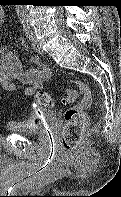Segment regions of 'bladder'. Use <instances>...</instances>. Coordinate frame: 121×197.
Masks as SVG:
<instances>
[{
    "label": "bladder",
    "instance_id": "obj_1",
    "mask_svg": "<svg viewBox=\"0 0 121 197\" xmlns=\"http://www.w3.org/2000/svg\"><path fill=\"white\" fill-rule=\"evenodd\" d=\"M56 113L51 109H40L27 118L7 125V130L17 134H43L52 128Z\"/></svg>",
    "mask_w": 121,
    "mask_h": 197
}]
</instances>
